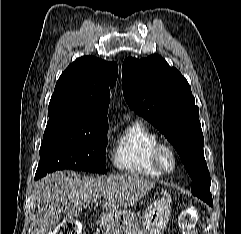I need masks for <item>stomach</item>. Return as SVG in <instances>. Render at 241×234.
Here are the masks:
<instances>
[{"mask_svg": "<svg viewBox=\"0 0 241 234\" xmlns=\"http://www.w3.org/2000/svg\"><path fill=\"white\" fill-rule=\"evenodd\" d=\"M171 215L168 201L158 199L145 210L141 220L128 210L104 214L102 221L111 222L119 234H163Z\"/></svg>", "mask_w": 241, "mask_h": 234, "instance_id": "0dacf381", "label": "stomach"}]
</instances>
